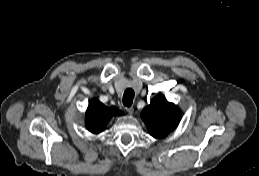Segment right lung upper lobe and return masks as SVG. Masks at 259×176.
<instances>
[{"label": "right lung upper lobe", "mask_w": 259, "mask_h": 176, "mask_svg": "<svg viewBox=\"0 0 259 176\" xmlns=\"http://www.w3.org/2000/svg\"><path fill=\"white\" fill-rule=\"evenodd\" d=\"M114 115H122V111L115 107L108 108L97 99L91 100L86 112L87 129L95 134L102 132Z\"/></svg>", "instance_id": "obj_1"}]
</instances>
